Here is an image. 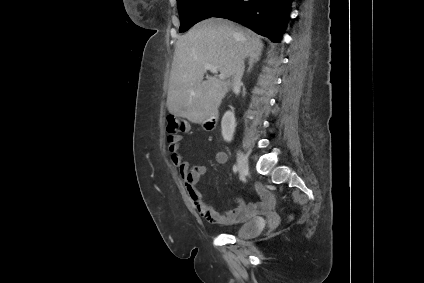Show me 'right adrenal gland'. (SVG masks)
<instances>
[{
	"label": "right adrenal gland",
	"mask_w": 424,
	"mask_h": 283,
	"mask_svg": "<svg viewBox=\"0 0 424 283\" xmlns=\"http://www.w3.org/2000/svg\"><path fill=\"white\" fill-rule=\"evenodd\" d=\"M261 54H262L261 52H258V53L254 54L250 57L249 62H248L249 67L247 69V73H249L251 71L253 64L260 60Z\"/></svg>",
	"instance_id": "right-adrenal-gland-1"
}]
</instances>
